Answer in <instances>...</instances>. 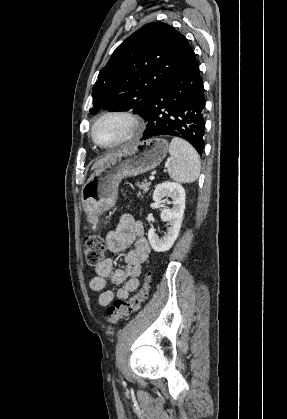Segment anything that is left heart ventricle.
<instances>
[{
    "instance_id": "1",
    "label": "left heart ventricle",
    "mask_w": 287,
    "mask_h": 419,
    "mask_svg": "<svg viewBox=\"0 0 287 419\" xmlns=\"http://www.w3.org/2000/svg\"><path fill=\"white\" fill-rule=\"evenodd\" d=\"M131 132L130 124L118 117L101 121L95 129V137L102 144H111L126 137Z\"/></svg>"
}]
</instances>
